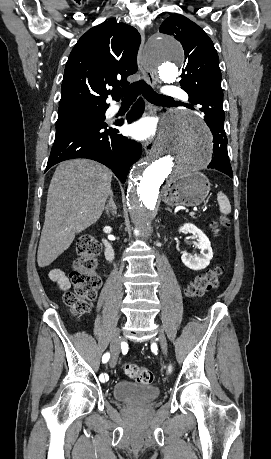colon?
I'll list each match as a JSON object with an SVG mask.
<instances>
[{"mask_svg":"<svg viewBox=\"0 0 271 459\" xmlns=\"http://www.w3.org/2000/svg\"><path fill=\"white\" fill-rule=\"evenodd\" d=\"M227 226L228 220L225 217L212 222V227L216 232ZM76 252L77 258L70 274L73 291L64 294V302L74 315L82 316L89 312L90 304L95 299L101 284L100 276L97 273V256L100 252V244L91 234L83 233L78 237ZM222 273L223 269L217 266L205 274L197 276L187 287V295L200 297L206 291L217 287ZM124 371L138 383L150 384L153 381L152 372L136 364L125 363Z\"/></svg>","mask_w":271,"mask_h":459,"instance_id":"obj_1","label":"colon"}]
</instances>
